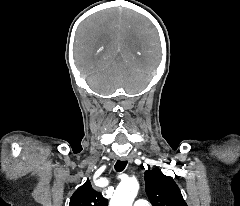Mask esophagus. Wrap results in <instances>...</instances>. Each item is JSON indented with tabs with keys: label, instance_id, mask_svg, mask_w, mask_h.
Segmentation results:
<instances>
[{
	"label": "esophagus",
	"instance_id": "34e87169",
	"mask_svg": "<svg viewBox=\"0 0 240 206\" xmlns=\"http://www.w3.org/2000/svg\"><path fill=\"white\" fill-rule=\"evenodd\" d=\"M120 160L121 161L132 162V158L131 157H121Z\"/></svg>",
	"mask_w": 240,
	"mask_h": 206
}]
</instances>
